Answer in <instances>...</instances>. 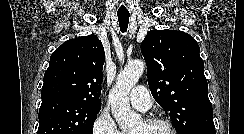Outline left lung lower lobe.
<instances>
[{
	"label": "left lung lower lobe",
	"instance_id": "1",
	"mask_svg": "<svg viewBox=\"0 0 244 134\" xmlns=\"http://www.w3.org/2000/svg\"><path fill=\"white\" fill-rule=\"evenodd\" d=\"M196 134H216L215 131H202V132H198Z\"/></svg>",
	"mask_w": 244,
	"mask_h": 134
}]
</instances>
